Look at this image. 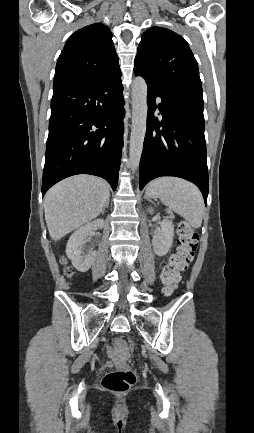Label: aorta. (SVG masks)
Masks as SVG:
<instances>
[{"label": "aorta", "mask_w": 254, "mask_h": 433, "mask_svg": "<svg viewBox=\"0 0 254 433\" xmlns=\"http://www.w3.org/2000/svg\"><path fill=\"white\" fill-rule=\"evenodd\" d=\"M147 84L144 78L136 77L132 83V127L130 137V167L136 170L143 151L147 128Z\"/></svg>", "instance_id": "762f6f07"}]
</instances>
